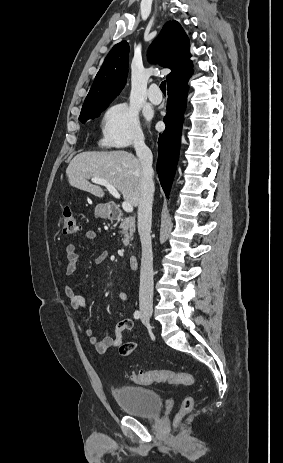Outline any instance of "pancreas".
Listing matches in <instances>:
<instances>
[{"label":"pancreas","mask_w":283,"mask_h":463,"mask_svg":"<svg viewBox=\"0 0 283 463\" xmlns=\"http://www.w3.org/2000/svg\"><path fill=\"white\" fill-rule=\"evenodd\" d=\"M121 229L120 233L124 237L122 239L125 246L130 245V242L133 240V234L135 232V218H123L119 225Z\"/></svg>","instance_id":"cf45deb5"}]
</instances>
